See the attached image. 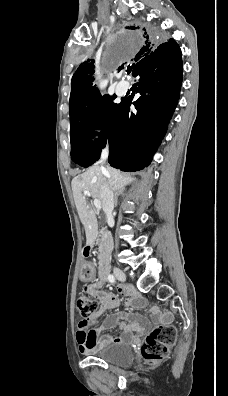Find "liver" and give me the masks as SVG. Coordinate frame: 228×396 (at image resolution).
<instances>
[{
    "mask_svg": "<svg viewBox=\"0 0 228 396\" xmlns=\"http://www.w3.org/2000/svg\"><path fill=\"white\" fill-rule=\"evenodd\" d=\"M134 178L123 175L119 170L108 167L102 171L98 164L88 168L84 173L72 180V191L79 218L85 227L87 243H91L97 232V220L88 205L84 191L90 192L91 196L102 203L101 188L107 183L111 190H124Z\"/></svg>",
    "mask_w": 228,
    "mask_h": 396,
    "instance_id": "1",
    "label": "liver"
}]
</instances>
